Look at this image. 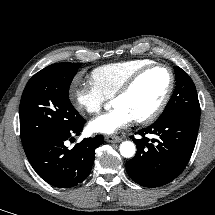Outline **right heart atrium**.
Returning <instances> with one entry per match:
<instances>
[{"label":"right heart atrium","mask_w":215,"mask_h":215,"mask_svg":"<svg viewBox=\"0 0 215 215\" xmlns=\"http://www.w3.org/2000/svg\"><path fill=\"white\" fill-rule=\"evenodd\" d=\"M69 97L78 112L87 114L100 112L108 100L92 81H83L80 78L72 82Z\"/></svg>","instance_id":"1"}]
</instances>
